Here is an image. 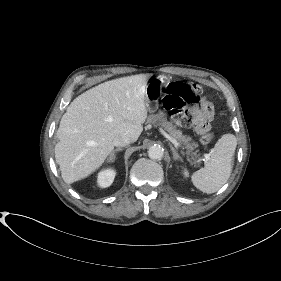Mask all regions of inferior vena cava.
Masks as SVG:
<instances>
[{"mask_svg":"<svg viewBox=\"0 0 281 281\" xmlns=\"http://www.w3.org/2000/svg\"><path fill=\"white\" fill-rule=\"evenodd\" d=\"M129 143H131V140H130L129 137H127V136H125V135L116 137V138L113 140L114 146H117V147H123V146L128 145Z\"/></svg>","mask_w":281,"mask_h":281,"instance_id":"602c4592","label":"inferior vena cava"}]
</instances>
